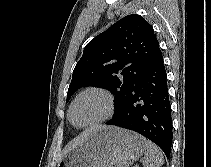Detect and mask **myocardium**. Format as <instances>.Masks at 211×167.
Returning a JSON list of instances; mask_svg holds the SVG:
<instances>
[{
  "label": "myocardium",
  "instance_id": "myocardium-1",
  "mask_svg": "<svg viewBox=\"0 0 211 167\" xmlns=\"http://www.w3.org/2000/svg\"><path fill=\"white\" fill-rule=\"evenodd\" d=\"M89 93H96L101 95L106 102V112L104 113L103 116H101L100 118L85 124V125H77L73 120H72V110L76 104V102L83 96H85L86 94ZM114 112V98L112 96V94L105 88L102 87H98V86H91V87H87L86 89L82 90L80 93H78L75 98L72 100L69 110H68V119L70 121V123L79 129H86V128H90L93 126H96L98 124H101L105 121H107L113 114Z\"/></svg>",
  "mask_w": 211,
  "mask_h": 167
}]
</instances>
